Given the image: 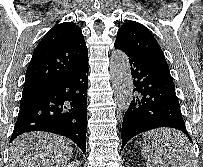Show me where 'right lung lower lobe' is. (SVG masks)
<instances>
[{"mask_svg":"<svg viewBox=\"0 0 203 167\" xmlns=\"http://www.w3.org/2000/svg\"><path fill=\"white\" fill-rule=\"evenodd\" d=\"M88 59L47 92L22 98L10 138L30 131H46L73 140L86 151Z\"/></svg>","mask_w":203,"mask_h":167,"instance_id":"right-lung-lower-lobe-1","label":"right lung lower lobe"}]
</instances>
